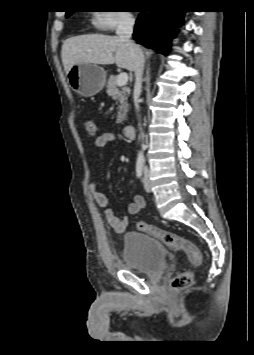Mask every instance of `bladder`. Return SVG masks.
Segmentation results:
<instances>
[{"label":"bladder","instance_id":"1","mask_svg":"<svg viewBox=\"0 0 254 355\" xmlns=\"http://www.w3.org/2000/svg\"><path fill=\"white\" fill-rule=\"evenodd\" d=\"M123 241V261L129 269L150 277L165 272L168 254L158 239L146 234L127 232Z\"/></svg>","mask_w":254,"mask_h":355}]
</instances>
